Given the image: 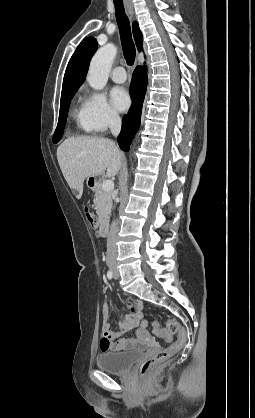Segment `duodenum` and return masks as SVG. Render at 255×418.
<instances>
[{
  "instance_id": "410a0bca",
  "label": "duodenum",
  "mask_w": 255,
  "mask_h": 418,
  "mask_svg": "<svg viewBox=\"0 0 255 418\" xmlns=\"http://www.w3.org/2000/svg\"><path fill=\"white\" fill-rule=\"evenodd\" d=\"M108 232V223L105 218H102L98 225V235L100 237H105Z\"/></svg>"
}]
</instances>
